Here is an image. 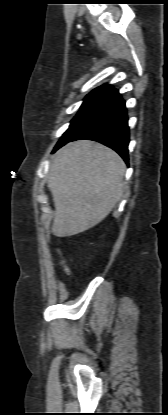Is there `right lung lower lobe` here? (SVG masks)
<instances>
[{
	"instance_id": "1",
	"label": "right lung lower lobe",
	"mask_w": 168,
	"mask_h": 415,
	"mask_svg": "<svg viewBox=\"0 0 168 415\" xmlns=\"http://www.w3.org/2000/svg\"><path fill=\"white\" fill-rule=\"evenodd\" d=\"M75 140L98 141L115 150L128 163V117L125 102L116 89H107L81 108L53 152Z\"/></svg>"
}]
</instances>
